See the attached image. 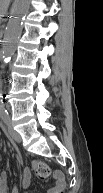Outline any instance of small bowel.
<instances>
[{
    "label": "small bowel",
    "mask_w": 103,
    "mask_h": 193,
    "mask_svg": "<svg viewBox=\"0 0 103 193\" xmlns=\"http://www.w3.org/2000/svg\"><path fill=\"white\" fill-rule=\"evenodd\" d=\"M30 170L24 169L23 171V186L27 187L30 182ZM0 181H1V193H7L8 192V184H9V173L7 171H3L0 175ZM64 189V180L62 178L61 174H57V176H54L53 179V186L50 187L46 193H62ZM10 193H20V191L14 187L11 189ZM28 193V192H25Z\"/></svg>",
    "instance_id": "c3829d8e"
}]
</instances>
